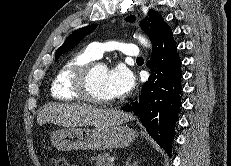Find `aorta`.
<instances>
[{
    "instance_id": "762f6f07",
    "label": "aorta",
    "mask_w": 231,
    "mask_h": 166,
    "mask_svg": "<svg viewBox=\"0 0 231 166\" xmlns=\"http://www.w3.org/2000/svg\"><path fill=\"white\" fill-rule=\"evenodd\" d=\"M135 38H137L139 40V42L146 48H151V43L148 39H146L145 37L139 35V36H136L134 35Z\"/></svg>"
}]
</instances>
